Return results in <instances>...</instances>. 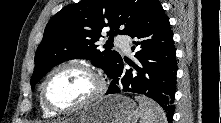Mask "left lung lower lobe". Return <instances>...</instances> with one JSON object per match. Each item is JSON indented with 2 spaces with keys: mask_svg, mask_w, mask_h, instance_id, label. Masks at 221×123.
Here are the masks:
<instances>
[{
  "mask_svg": "<svg viewBox=\"0 0 221 123\" xmlns=\"http://www.w3.org/2000/svg\"><path fill=\"white\" fill-rule=\"evenodd\" d=\"M129 36L134 39L131 50H138V62H128L132 68L125 69L120 58L109 76L112 82L106 94H143L158 102L171 121L175 110L176 50L168 17L159 1H154Z\"/></svg>",
  "mask_w": 221,
  "mask_h": 123,
  "instance_id": "obj_1",
  "label": "left lung lower lobe"
}]
</instances>
